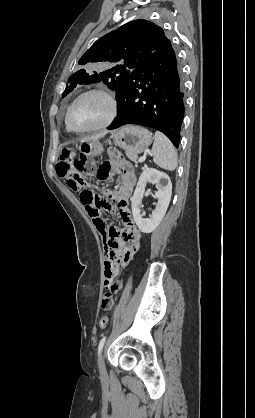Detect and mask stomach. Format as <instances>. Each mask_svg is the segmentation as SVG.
Instances as JSON below:
<instances>
[{
    "label": "stomach",
    "instance_id": "obj_1",
    "mask_svg": "<svg viewBox=\"0 0 255 418\" xmlns=\"http://www.w3.org/2000/svg\"><path fill=\"white\" fill-rule=\"evenodd\" d=\"M116 146L132 154L142 153L152 142V134L144 127L128 125L112 133ZM80 151L88 156L101 155L103 146L99 141L85 142L80 145Z\"/></svg>",
    "mask_w": 255,
    "mask_h": 418
}]
</instances>
